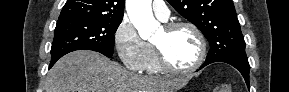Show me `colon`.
I'll return each mask as SVG.
<instances>
[{
    "mask_svg": "<svg viewBox=\"0 0 289 92\" xmlns=\"http://www.w3.org/2000/svg\"><path fill=\"white\" fill-rule=\"evenodd\" d=\"M217 92H230V86L227 83L220 84L217 89Z\"/></svg>",
    "mask_w": 289,
    "mask_h": 92,
    "instance_id": "colon-1",
    "label": "colon"
}]
</instances>
